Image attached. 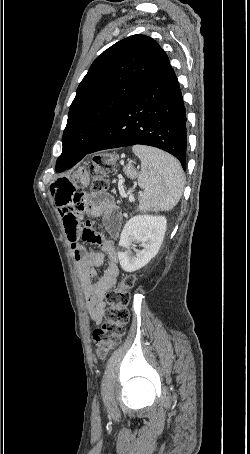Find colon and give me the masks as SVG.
Wrapping results in <instances>:
<instances>
[{"mask_svg": "<svg viewBox=\"0 0 250 454\" xmlns=\"http://www.w3.org/2000/svg\"><path fill=\"white\" fill-rule=\"evenodd\" d=\"M117 156L113 153H99L93 156L91 163V192L101 195L108 188V174L114 169ZM136 283L134 275H125L116 288L106 294L108 309L105 321L93 332L98 357L107 356L120 342L125 325L129 321L128 305L131 289Z\"/></svg>", "mask_w": 250, "mask_h": 454, "instance_id": "colon-1", "label": "colon"}]
</instances>
